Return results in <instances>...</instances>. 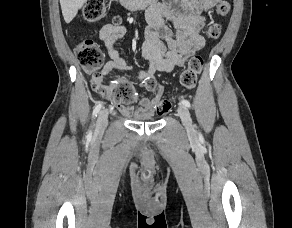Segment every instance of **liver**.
Returning <instances> with one entry per match:
<instances>
[{
  "mask_svg": "<svg viewBox=\"0 0 292 228\" xmlns=\"http://www.w3.org/2000/svg\"><path fill=\"white\" fill-rule=\"evenodd\" d=\"M88 0H60L62 14L66 23H70L77 15L78 10Z\"/></svg>",
  "mask_w": 292,
  "mask_h": 228,
  "instance_id": "6515ba94",
  "label": "liver"
}]
</instances>
